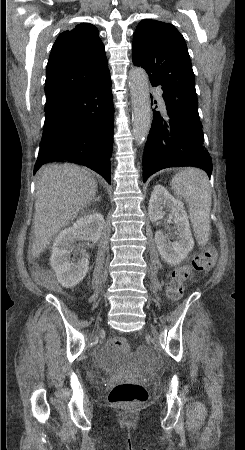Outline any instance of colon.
<instances>
[{
  "instance_id": "1",
  "label": "colon",
  "mask_w": 245,
  "mask_h": 450,
  "mask_svg": "<svg viewBox=\"0 0 245 450\" xmlns=\"http://www.w3.org/2000/svg\"><path fill=\"white\" fill-rule=\"evenodd\" d=\"M216 259V251L213 248H204L196 254L190 263L181 265L172 270L167 284V296L173 302H179L184 295V283L196 272H202L212 267ZM48 288H53L48 282H45ZM112 345L122 351L130 350V343L122 337H116ZM149 398L148 390L141 384L122 383L115 385L108 396L112 404L117 405H137L146 402Z\"/></svg>"
}]
</instances>
